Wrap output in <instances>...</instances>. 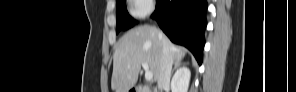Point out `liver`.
I'll list each match as a JSON object with an SVG mask.
<instances>
[{
	"label": "liver",
	"instance_id": "1",
	"mask_svg": "<svg viewBox=\"0 0 296 92\" xmlns=\"http://www.w3.org/2000/svg\"><path fill=\"white\" fill-rule=\"evenodd\" d=\"M163 37L173 62H181L185 52L174 45L156 27L141 25L129 30L119 40L113 56L111 88L115 92H129L138 80L141 64L147 63L154 80L160 74Z\"/></svg>",
	"mask_w": 296,
	"mask_h": 92
}]
</instances>
